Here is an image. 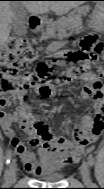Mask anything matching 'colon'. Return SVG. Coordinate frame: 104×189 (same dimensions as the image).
Returning a JSON list of instances; mask_svg holds the SVG:
<instances>
[{"mask_svg":"<svg viewBox=\"0 0 104 189\" xmlns=\"http://www.w3.org/2000/svg\"><path fill=\"white\" fill-rule=\"evenodd\" d=\"M103 43L95 34H88L81 43V51L70 53L67 58L73 62H83L99 69V55ZM35 52L30 42L20 36H11L2 47L0 65V93L2 96H15L35 88L43 97L52 95L53 69L48 63H41L34 73L24 70L34 60ZM79 73V68H68L61 72L63 80H70ZM34 129L42 138L48 137V128L42 121L34 123Z\"/></svg>","mask_w":104,"mask_h":189,"instance_id":"obj_1","label":"colon"}]
</instances>
